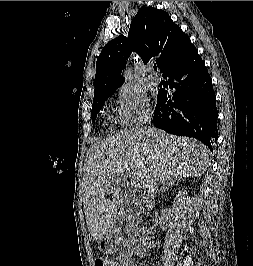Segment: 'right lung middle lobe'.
Listing matches in <instances>:
<instances>
[{"mask_svg":"<svg viewBox=\"0 0 253 266\" xmlns=\"http://www.w3.org/2000/svg\"><path fill=\"white\" fill-rule=\"evenodd\" d=\"M113 94L112 93H108L105 94L99 98H97L96 100L93 101V105H92V111H91V118L92 121L95 122V119L97 117V114L100 112L104 102Z\"/></svg>","mask_w":253,"mask_h":266,"instance_id":"dd1d6c3e","label":"right lung middle lobe"}]
</instances>
